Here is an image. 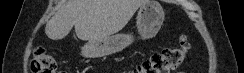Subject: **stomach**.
<instances>
[{
	"label": "stomach",
	"mask_w": 244,
	"mask_h": 73,
	"mask_svg": "<svg viewBox=\"0 0 244 73\" xmlns=\"http://www.w3.org/2000/svg\"><path fill=\"white\" fill-rule=\"evenodd\" d=\"M164 10L156 0H148L140 6L137 14V29L143 39L154 37L164 21ZM131 34H116L102 40H90L82 48L85 57H102L118 53L133 43Z\"/></svg>",
	"instance_id": "stomach-1"
}]
</instances>
